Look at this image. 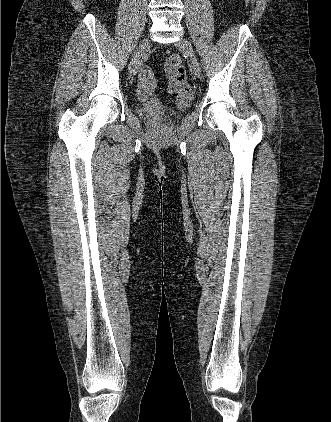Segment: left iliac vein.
Masks as SVG:
<instances>
[{"instance_id": "1", "label": "left iliac vein", "mask_w": 331, "mask_h": 422, "mask_svg": "<svg viewBox=\"0 0 331 422\" xmlns=\"http://www.w3.org/2000/svg\"><path fill=\"white\" fill-rule=\"evenodd\" d=\"M175 46L189 56L195 76L200 77L201 67L193 50L192 44L186 38H181L175 43Z\"/></svg>"}]
</instances>
